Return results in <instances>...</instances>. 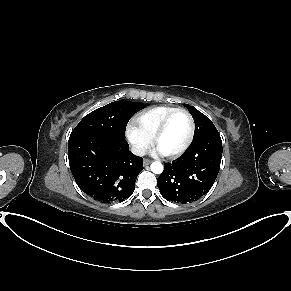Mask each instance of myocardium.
Returning <instances> with one entry per match:
<instances>
[{
  "label": "myocardium",
  "mask_w": 291,
  "mask_h": 291,
  "mask_svg": "<svg viewBox=\"0 0 291 291\" xmlns=\"http://www.w3.org/2000/svg\"><path fill=\"white\" fill-rule=\"evenodd\" d=\"M178 113H183L185 114L188 119H189V124H190V128H189V135L188 138L185 142V144L178 150L171 152V153H161L164 157L167 158H176L180 155H182L184 152H186L188 150V148L190 147V145L193 142L194 139V134H195V122L193 119V116L190 114V112L186 109L183 108H177L175 110H173L172 112H170L160 123L159 127L157 128V130L155 131L153 137H152V144L157 147V143L159 141V139L161 138V136L163 135V133L165 132L167 125L169 123V121L171 120V118L178 114Z\"/></svg>",
  "instance_id": "obj_1"
}]
</instances>
